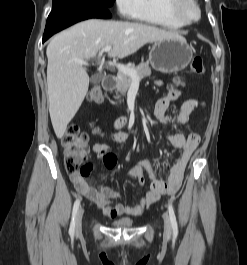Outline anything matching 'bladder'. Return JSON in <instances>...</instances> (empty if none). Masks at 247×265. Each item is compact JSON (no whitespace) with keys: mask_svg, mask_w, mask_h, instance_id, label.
<instances>
[{"mask_svg":"<svg viewBox=\"0 0 247 265\" xmlns=\"http://www.w3.org/2000/svg\"><path fill=\"white\" fill-rule=\"evenodd\" d=\"M116 228H131L135 225V221L132 219H118L111 223Z\"/></svg>","mask_w":247,"mask_h":265,"instance_id":"bladder-1","label":"bladder"}]
</instances>
